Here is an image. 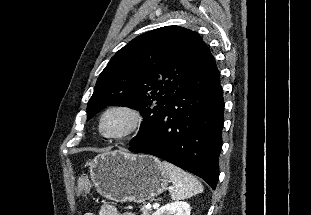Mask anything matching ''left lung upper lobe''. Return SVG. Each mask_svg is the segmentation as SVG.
<instances>
[{
  "label": "left lung upper lobe",
  "mask_w": 311,
  "mask_h": 215,
  "mask_svg": "<svg viewBox=\"0 0 311 215\" xmlns=\"http://www.w3.org/2000/svg\"><path fill=\"white\" fill-rule=\"evenodd\" d=\"M205 42L191 30L165 26L131 40L99 75L87 119L106 106H127L144 120L130 145L139 141L200 56Z\"/></svg>",
  "instance_id": "obj_1"
}]
</instances>
